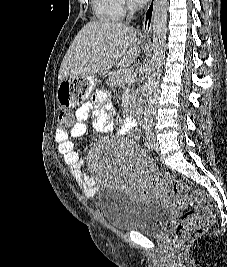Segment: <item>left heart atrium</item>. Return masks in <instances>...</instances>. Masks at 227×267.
I'll use <instances>...</instances> for the list:
<instances>
[{
	"label": "left heart atrium",
	"instance_id": "left-heart-atrium-1",
	"mask_svg": "<svg viewBox=\"0 0 227 267\" xmlns=\"http://www.w3.org/2000/svg\"><path fill=\"white\" fill-rule=\"evenodd\" d=\"M148 0H134L135 3L137 4H144L146 3Z\"/></svg>",
	"mask_w": 227,
	"mask_h": 267
}]
</instances>
